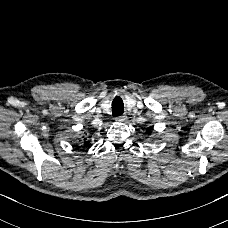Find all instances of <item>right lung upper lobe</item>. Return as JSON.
Masks as SVG:
<instances>
[{
  "label": "right lung upper lobe",
  "instance_id": "cb5924a9",
  "mask_svg": "<svg viewBox=\"0 0 228 228\" xmlns=\"http://www.w3.org/2000/svg\"><path fill=\"white\" fill-rule=\"evenodd\" d=\"M90 144L87 142V146H89Z\"/></svg>",
  "mask_w": 228,
  "mask_h": 228
}]
</instances>
